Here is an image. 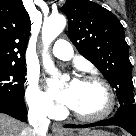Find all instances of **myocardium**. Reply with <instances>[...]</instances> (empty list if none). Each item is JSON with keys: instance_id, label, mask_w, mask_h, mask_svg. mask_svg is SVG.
<instances>
[{"instance_id": "myocardium-1", "label": "myocardium", "mask_w": 136, "mask_h": 136, "mask_svg": "<svg viewBox=\"0 0 136 136\" xmlns=\"http://www.w3.org/2000/svg\"><path fill=\"white\" fill-rule=\"evenodd\" d=\"M82 81L83 82L99 83L104 88V90L106 92L107 105L102 112H100L96 115H92V116L82 115V114L76 112L75 110L71 109V113L73 114V116L83 122H98V121H101V120L107 118L113 112V110L115 108V104H116L115 93H114L113 88L110 85V83L105 78H103L99 75H95V74H90V75L84 76Z\"/></svg>"}]
</instances>
